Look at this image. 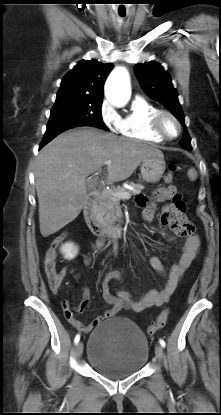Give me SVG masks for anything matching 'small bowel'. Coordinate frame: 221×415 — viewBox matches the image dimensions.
I'll list each match as a JSON object with an SVG mask.
<instances>
[{
  "label": "small bowel",
  "mask_w": 221,
  "mask_h": 415,
  "mask_svg": "<svg viewBox=\"0 0 221 415\" xmlns=\"http://www.w3.org/2000/svg\"><path fill=\"white\" fill-rule=\"evenodd\" d=\"M163 201H170V203L163 209L161 224L170 225V228H172L177 235H188L182 246L179 260L169 267L168 272L166 271L163 262L157 256H152L149 260L151 267L164 277V287L161 290H150L137 298H134V296L127 291H117L113 294L110 291L109 283L111 281L120 282L121 274L118 271H110L104 275L102 280L103 299L110 305V308L104 311L102 315L96 317L90 324L85 325L74 319L69 303L64 301L63 309L65 316L73 326L83 332H88L93 327L98 326L104 319L114 317L121 310L140 312L152 306H161L169 301L180 280L198 255L201 241L198 235L193 234L194 226L187 220V210H184V203L181 195L174 186L156 189L150 200L142 194L136 197V203L143 207L142 216L144 221L151 222L153 220L157 203ZM103 244L104 239L100 238L95 244V249L100 248ZM86 264H90L89 257L86 258ZM88 303L89 292L88 289L85 288L84 299L76 308V311H85Z\"/></svg>",
  "instance_id": "small-bowel-1"
}]
</instances>
